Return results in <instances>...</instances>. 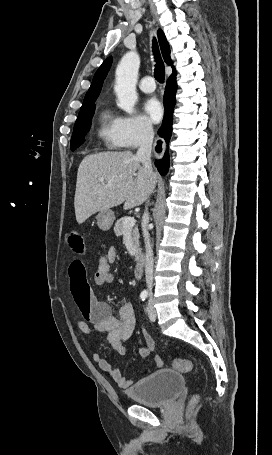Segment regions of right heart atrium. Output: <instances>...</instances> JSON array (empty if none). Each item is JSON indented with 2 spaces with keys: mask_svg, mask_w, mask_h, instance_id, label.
Masks as SVG:
<instances>
[{
  "mask_svg": "<svg viewBox=\"0 0 272 455\" xmlns=\"http://www.w3.org/2000/svg\"><path fill=\"white\" fill-rule=\"evenodd\" d=\"M117 133L121 146L132 149L152 139L153 127L144 116H120Z\"/></svg>",
  "mask_w": 272,
  "mask_h": 455,
  "instance_id": "obj_1",
  "label": "right heart atrium"
}]
</instances>
